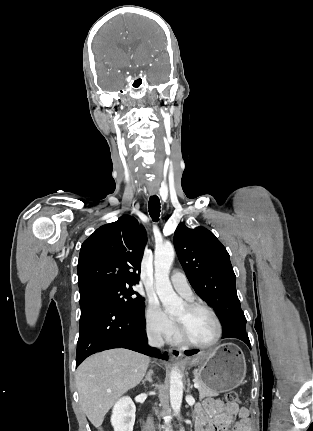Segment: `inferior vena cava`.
I'll use <instances>...</instances> for the list:
<instances>
[{
    "instance_id": "602c4592",
    "label": "inferior vena cava",
    "mask_w": 313,
    "mask_h": 431,
    "mask_svg": "<svg viewBox=\"0 0 313 431\" xmlns=\"http://www.w3.org/2000/svg\"><path fill=\"white\" fill-rule=\"evenodd\" d=\"M148 343L152 347L162 348L164 341L161 336V332L156 328L147 329Z\"/></svg>"
}]
</instances>
